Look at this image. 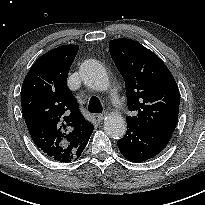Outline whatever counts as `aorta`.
Instances as JSON below:
<instances>
[{
    "instance_id": "1",
    "label": "aorta",
    "mask_w": 205,
    "mask_h": 205,
    "mask_svg": "<svg viewBox=\"0 0 205 205\" xmlns=\"http://www.w3.org/2000/svg\"><path fill=\"white\" fill-rule=\"evenodd\" d=\"M80 76L90 88L98 91L107 89L109 79L105 68L96 60L89 59L80 66ZM104 130L113 139H120L125 135L126 122L118 113L109 114L104 120Z\"/></svg>"
}]
</instances>
